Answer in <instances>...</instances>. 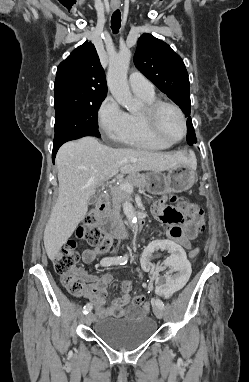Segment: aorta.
<instances>
[{
    "instance_id": "obj_1",
    "label": "aorta",
    "mask_w": 249,
    "mask_h": 382,
    "mask_svg": "<svg viewBox=\"0 0 249 382\" xmlns=\"http://www.w3.org/2000/svg\"><path fill=\"white\" fill-rule=\"evenodd\" d=\"M130 59V50L123 49L110 60L107 73V84L109 91L116 101L128 111L133 112L137 109L138 103L133 98L127 82V71ZM123 211L131 228L136 229L137 218L132 204L125 203L123 205Z\"/></svg>"
}]
</instances>
